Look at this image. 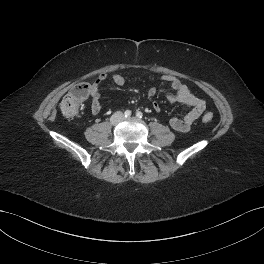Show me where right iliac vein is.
I'll use <instances>...</instances> for the list:
<instances>
[{
	"instance_id": "right-iliac-vein-1",
	"label": "right iliac vein",
	"mask_w": 264,
	"mask_h": 264,
	"mask_svg": "<svg viewBox=\"0 0 264 264\" xmlns=\"http://www.w3.org/2000/svg\"><path fill=\"white\" fill-rule=\"evenodd\" d=\"M122 119V114L121 113H116L113 118H112V121L114 123H117L118 121H120Z\"/></svg>"
}]
</instances>
